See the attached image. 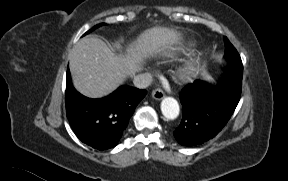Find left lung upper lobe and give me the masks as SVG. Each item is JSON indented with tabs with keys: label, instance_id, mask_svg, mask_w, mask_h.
I'll list each match as a JSON object with an SVG mask.
<instances>
[{
	"label": "left lung upper lobe",
	"instance_id": "1",
	"mask_svg": "<svg viewBox=\"0 0 288 181\" xmlns=\"http://www.w3.org/2000/svg\"><path fill=\"white\" fill-rule=\"evenodd\" d=\"M224 41L226 48L225 57L228 60L229 66L225 71L223 80H229L237 84H242L243 65L241 58L234 46L226 37H224Z\"/></svg>",
	"mask_w": 288,
	"mask_h": 181
}]
</instances>
